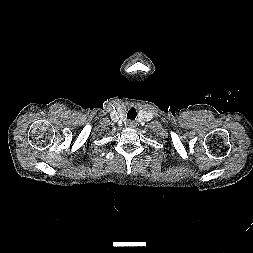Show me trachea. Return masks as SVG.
Instances as JSON below:
<instances>
[{"label":"trachea","mask_w":253,"mask_h":253,"mask_svg":"<svg viewBox=\"0 0 253 253\" xmlns=\"http://www.w3.org/2000/svg\"><path fill=\"white\" fill-rule=\"evenodd\" d=\"M136 116H137V112L135 108H131L127 113V118L130 120H135Z\"/></svg>","instance_id":"obj_1"}]
</instances>
